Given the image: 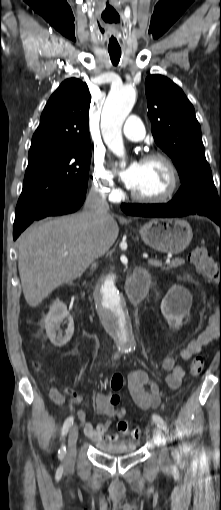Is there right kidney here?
<instances>
[{
    "mask_svg": "<svg viewBox=\"0 0 221 510\" xmlns=\"http://www.w3.org/2000/svg\"><path fill=\"white\" fill-rule=\"evenodd\" d=\"M61 323H67L64 335H62V331L60 329ZM44 326L47 337L56 347L66 345L74 333L73 319L69 315L66 305L59 300H55L50 306V310L44 318Z\"/></svg>",
    "mask_w": 221,
    "mask_h": 510,
    "instance_id": "1",
    "label": "right kidney"
}]
</instances>
